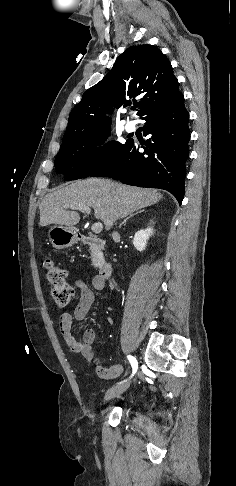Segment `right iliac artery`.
Instances as JSON below:
<instances>
[{
	"label": "right iliac artery",
	"instance_id": "82829eb1",
	"mask_svg": "<svg viewBox=\"0 0 236 486\" xmlns=\"http://www.w3.org/2000/svg\"><path fill=\"white\" fill-rule=\"evenodd\" d=\"M127 358L129 360V362L131 363V366H132V369H133V374L132 375H134L136 373V371H137V368H138L137 360L133 356H131V355H128Z\"/></svg>",
	"mask_w": 236,
	"mask_h": 486
}]
</instances>
